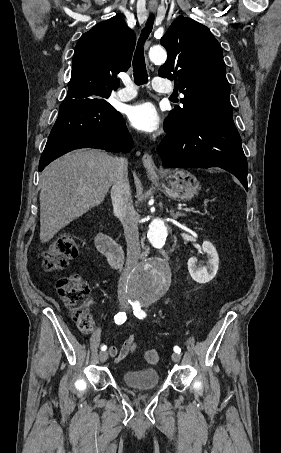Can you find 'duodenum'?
<instances>
[{
  "label": "duodenum",
  "instance_id": "410a0bca",
  "mask_svg": "<svg viewBox=\"0 0 281 453\" xmlns=\"http://www.w3.org/2000/svg\"><path fill=\"white\" fill-rule=\"evenodd\" d=\"M96 245L98 250L108 258L109 263L113 267L118 268L122 265L124 260L123 250L109 235L105 233L98 234Z\"/></svg>",
  "mask_w": 281,
  "mask_h": 453
}]
</instances>
